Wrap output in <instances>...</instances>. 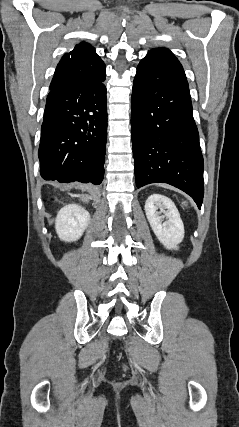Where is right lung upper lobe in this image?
<instances>
[{
	"mask_svg": "<svg viewBox=\"0 0 239 427\" xmlns=\"http://www.w3.org/2000/svg\"><path fill=\"white\" fill-rule=\"evenodd\" d=\"M105 64L96 54L95 49L85 42L78 44L60 60L50 89L64 82L97 76L105 71Z\"/></svg>",
	"mask_w": 239,
	"mask_h": 427,
	"instance_id": "right-lung-upper-lobe-1",
	"label": "right lung upper lobe"
}]
</instances>
